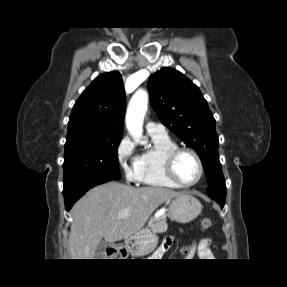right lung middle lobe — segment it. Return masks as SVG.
I'll return each mask as SVG.
<instances>
[{
    "label": "right lung middle lobe",
    "instance_id": "1",
    "mask_svg": "<svg viewBox=\"0 0 287 287\" xmlns=\"http://www.w3.org/2000/svg\"><path fill=\"white\" fill-rule=\"evenodd\" d=\"M122 134L97 135L86 127L68 131L64 154V189L87 178H121L117 148Z\"/></svg>",
    "mask_w": 287,
    "mask_h": 287
}]
</instances>
